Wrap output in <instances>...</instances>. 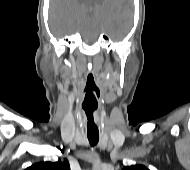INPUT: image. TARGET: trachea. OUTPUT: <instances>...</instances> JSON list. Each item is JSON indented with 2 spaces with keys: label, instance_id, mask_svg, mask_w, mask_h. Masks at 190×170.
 Segmentation results:
<instances>
[{
  "label": "trachea",
  "instance_id": "1",
  "mask_svg": "<svg viewBox=\"0 0 190 170\" xmlns=\"http://www.w3.org/2000/svg\"><path fill=\"white\" fill-rule=\"evenodd\" d=\"M86 114H87V111H86ZM87 137L91 146H95L99 141V136L88 135Z\"/></svg>",
  "mask_w": 190,
  "mask_h": 170
}]
</instances>
